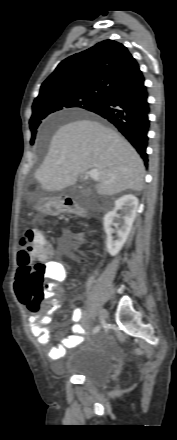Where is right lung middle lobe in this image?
Instances as JSON below:
<instances>
[{
    "label": "right lung middle lobe",
    "instance_id": "1",
    "mask_svg": "<svg viewBox=\"0 0 177 440\" xmlns=\"http://www.w3.org/2000/svg\"><path fill=\"white\" fill-rule=\"evenodd\" d=\"M102 94H90V93H76L70 92L60 95L44 104L37 107H33V114L29 121L30 129L32 133L31 144H34L37 128L47 115L67 108L78 107L82 109H88L102 99Z\"/></svg>",
    "mask_w": 177,
    "mask_h": 440
}]
</instances>
